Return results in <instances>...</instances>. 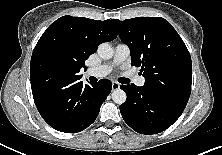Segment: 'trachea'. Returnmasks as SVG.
<instances>
[{
    "label": "trachea",
    "mask_w": 222,
    "mask_h": 155,
    "mask_svg": "<svg viewBox=\"0 0 222 155\" xmlns=\"http://www.w3.org/2000/svg\"><path fill=\"white\" fill-rule=\"evenodd\" d=\"M120 82L123 83V84H127V83L130 82V80L128 78H121Z\"/></svg>",
    "instance_id": "3493384b"
}]
</instances>
